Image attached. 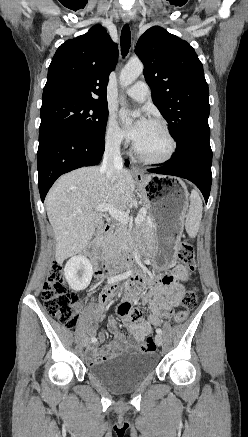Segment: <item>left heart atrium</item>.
Segmentation results:
<instances>
[{
	"instance_id": "obj_1",
	"label": "left heart atrium",
	"mask_w": 248,
	"mask_h": 437,
	"mask_svg": "<svg viewBox=\"0 0 248 437\" xmlns=\"http://www.w3.org/2000/svg\"><path fill=\"white\" fill-rule=\"evenodd\" d=\"M131 114L132 112L128 110H122L119 116L124 124L125 136L136 143L140 140L150 122L146 117L141 116L133 125H127Z\"/></svg>"
}]
</instances>
